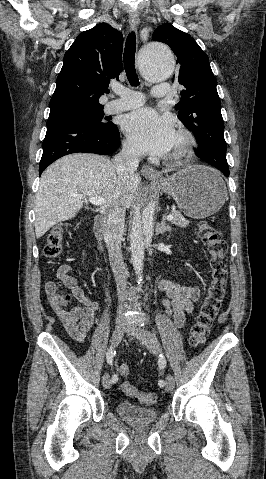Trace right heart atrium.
Segmentation results:
<instances>
[{
    "label": "right heart atrium",
    "instance_id": "right-heart-atrium-1",
    "mask_svg": "<svg viewBox=\"0 0 266 479\" xmlns=\"http://www.w3.org/2000/svg\"><path fill=\"white\" fill-rule=\"evenodd\" d=\"M124 151L127 155L131 156V157H136L137 156V152L134 148V146L132 145V143L128 140H126L124 142Z\"/></svg>",
    "mask_w": 266,
    "mask_h": 479
}]
</instances>
